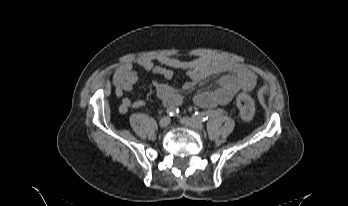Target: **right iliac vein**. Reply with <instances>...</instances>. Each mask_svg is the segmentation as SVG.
I'll return each mask as SVG.
<instances>
[{
  "label": "right iliac vein",
  "mask_w": 348,
  "mask_h": 206,
  "mask_svg": "<svg viewBox=\"0 0 348 206\" xmlns=\"http://www.w3.org/2000/svg\"><path fill=\"white\" fill-rule=\"evenodd\" d=\"M170 124V118L169 117H163L160 122H159V126L161 128H166L168 127V125Z\"/></svg>",
  "instance_id": "1"
}]
</instances>
